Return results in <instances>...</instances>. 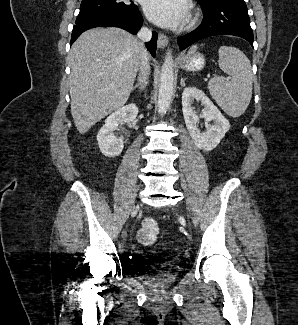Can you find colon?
Returning a JSON list of instances; mask_svg holds the SVG:
<instances>
[{
	"label": "colon",
	"mask_w": 298,
	"mask_h": 325,
	"mask_svg": "<svg viewBox=\"0 0 298 325\" xmlns=\"http://www.w3.org/2000/svg\"><path fill=\"white\" fill-rule=\"evenodd\" d=\"M159 234L158 224L154 219H145L137 233V239L142 245L153 244Z\"/></svg>",
	"instance_id": "obj_1"
}]
</instances>
